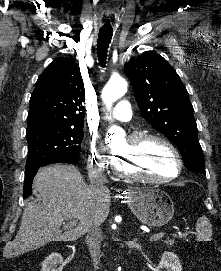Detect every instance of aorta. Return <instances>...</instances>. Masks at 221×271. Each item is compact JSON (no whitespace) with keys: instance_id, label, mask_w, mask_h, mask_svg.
Wrapping results in <instances>:
<instances>
[{"instance_id":"1","label":"aorta","mask_w":221,"mask_h":271,"mask_svg":"<svg viewBox=\"0 0 221 271\" xmlns=\"http://www.w3.org/2000/svg\"><path fill=\"white\" fill-rule=\"evenodd\" d=\"M128 83L123 78L112 79L110 80L104 87L102 91V100L106 107L110 109L112 104L125 95L127 92ZM111 132H120L121 130L116 127L112 126L110 128Z\"/></svg>"}]
</instances>
